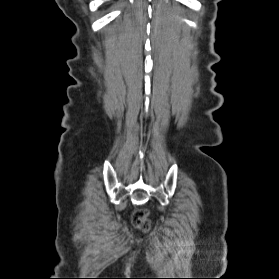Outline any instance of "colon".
Returning <instances> with one entry per match:
<instances>
[{"label":"colon","mask_w":279,"mask_h":279,"mask_svg":"<svg viewBox=\"0 0 279 279\" xmlns=\"http://www.w3.org/2000/svg\"><path fill=\"white\" fill-rule=\"evenodd\" d=\"M133 223L143 231H149L151 222L149 219V212L147 209H138L133 213Z\"/></svg>","instance_id":"5ec220e1"}]
</instances>
